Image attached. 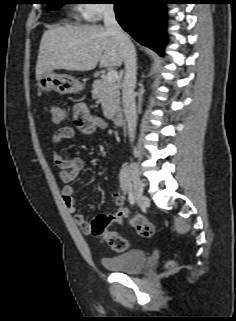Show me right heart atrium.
I'll list each match as a JSON object with an SVG mask.
<instances>
[{"mask_svg": "<svg viewBox=\"0 0 236 321\" xmlns=\"http://www.w3.org/2000/svg\"><path fill=\"white\" fill-rule=\"evenodd\" d=\"M81 7L80 14L83 19L90 22L99 21L103 16L113 11L114 6L109 0H87Z\"/></svg>", "mask_w": 236, "mask_h": 321, "instance_id": "obj_1", "label": "right heart atrium"}]
</instances>
